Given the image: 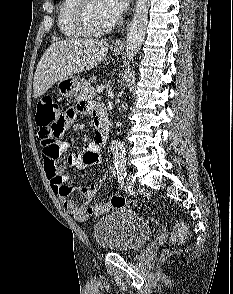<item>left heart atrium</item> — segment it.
Masks as SVG:
<instances>
[{"instance_id": "39dd6f15", "label": "left heart atrium", "mask_w": 233, "mask_h": 294, "mask_svg": "<svg viewBox=\"0 0 233 294\" xmlns=\"http://www.w3.org/2000/svg\"><path fill=\"white\" fill-rule=\"evenodd\" d=\"M104 4L108 12L116 20L127 10L129 0H104Z\"/></svg>"}]
</instances>
